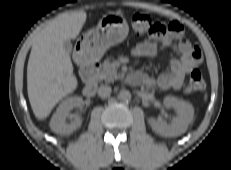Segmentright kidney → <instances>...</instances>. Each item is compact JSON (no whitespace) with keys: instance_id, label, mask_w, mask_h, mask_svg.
Instances as JSON below:
<instances>
[{"instance_id":"1","label":"right kidney","mask_w":231,"mask_h":170,"mask_svg":"<svg viewBox=\"0 0 231 170\" xmlns=\"http://www.w3.org/2000/svg\"><path fill=\"white\" fill-rule=\"evenodd\" d=\"M83 99L81 97H71L63 101L51 118L50 128L56 134H70L81 126V119L75 118L74 121L67 124L66 118L70 116V111L74 108H81Z\"/></svg>"}]
</instances>
